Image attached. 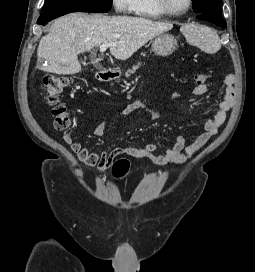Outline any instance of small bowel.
Here are the masks:
<instances>
[{"mask_svg": "<svg viewBox=\"0 0 255 272\" xmlns=\"http://www.w3.org/2000/svg\"><path fill=\"white\" fill-rule=\"evenodd\" d=\"M235 76L228 74L223 82L224 90L222 97L217 104V110L213 116L208 118L201 134L189 145H186L183 137H177L171 147L166 148L163 152L157 153L158 146L155 143H147L141 146H119L114 150L107 152L90 151L79 141H73L69 135L64 136V140L70 145L71 150L77 155L78 159L88 167L97 166L99 169H106L113 160L125 155L133 158L147 159L159 165L168 163H182L187 161L193 155L203 149L209 141L216 135L219 127L225 122L227 113L231 110L234 102ZM208 84H197L191 91L193 96H202L208 92ZM171 98L179 100L182 98L180 93H173ZM144 110L147 112L149 119L155 121L159 117V112L152 106L144 102H134L128 105L119 113V116L126 117L132 113ZM109 121L107 119L100 121L94 128V135L103 137L106 133Z\"/></svg>", "mask_w": 255, "mask_h": 272, "instance_id": "small-bowel-1", "label": "small bowel"}]
</instances>
